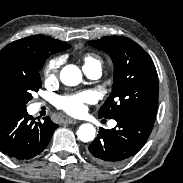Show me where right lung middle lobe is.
<instances>
[{"label":"right lung middle lobe","instance_id":"1","mask_svg":"<svg viewBox=\"0 0 183 183\" xmlns=\"http://www.w3.org/2000/svg\"><path fill=\"white\" fill-rule=\"evenodd\" d=\"M45 60L44 57L36 58L25 74L9 79L0 86V94L13 109H26L28 101L32 99L31 93L41 88L39 71Z\"/></svg>","mask_w":183,"mask_h":183}]
</instances>
